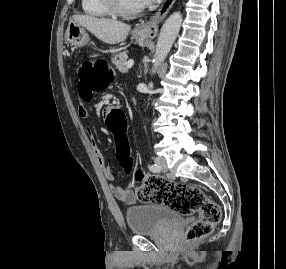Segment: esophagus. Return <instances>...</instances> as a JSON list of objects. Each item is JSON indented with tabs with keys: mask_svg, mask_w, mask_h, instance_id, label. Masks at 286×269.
<instances>
[{
	"mask_svg": "<svg viewBox=\"0 0 286 269\" xmlns=\"http://www.w3.org/2000/svg\"><path fill=\"white\" fill-rule=\"evenodd\" d=\"M176 0H164L157 12L147 22H142L136 26V31L144 38L154 39L158 29L165 19Z\"/></svg>",
	"mask_w": 286,
	"mask_h": 269,
	"instance_id": "esophagus-1",
	"label": "esophagus"
}]
</instances>
